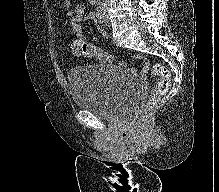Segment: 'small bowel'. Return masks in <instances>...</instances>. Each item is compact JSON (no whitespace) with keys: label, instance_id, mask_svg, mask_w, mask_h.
Here are the masks:
<instances>
[{"label":"small bowel","instance_id":"obj_1","mask_svg":"<svg viewBox=\"0 0 219 192\" xmlns=\"http://www.w3.org/2000/svg\"><path fill=\"white\" fill-rule=\"evenodd\" d=\"M95 0H90V3H94ZM96 18V14L95 11H90V13L85 16V8L82 5H78L75 7L73 14L71 15L70 18V25H71V29L72 31L77 35V36H81L82 35V24L85 20H95ZM98 29L100 31V33L103 36H106V31L104 29V27L98 23ZM96 40V39H95ZM131 71L133 73H136L138 71L137 68H131Z\"/></svg>","mask_w":219,"mask_h":192}]
</instances>
